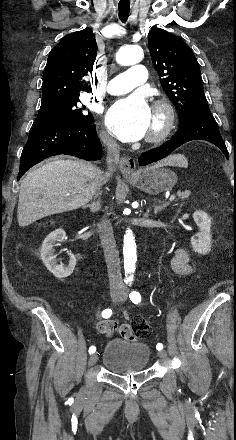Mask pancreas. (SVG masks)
<instances>
[{
    "label": "pancreas",
    "mask_w": 236,
    "mask_h": 440,
    "mask_svg": "<svg viewBox=\"0 0 236 440\" xmlns=\"http://www.w3.org/2000/svg\"><path fill=\"white\" fill-rule=\"evenodd\" d=\"M189 195H190V192H189V191H184V192H179V193H178V197H179L180 199H186V198L189 197Z\"/></svg>",
    "instance_id": "cf45deb5"
}]
</instances>
